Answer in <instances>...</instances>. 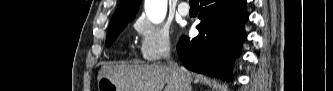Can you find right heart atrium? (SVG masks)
<instances>
[{
	"label": "right heart atrium",
	"mask_w": 333,
	"mask_h": 91,
	"mask_svg": "<svg viewBox=\"0 0 333 91\" xmlns=\"http://www.w3.org/2000/svg\"><path fill=\"white\" fill-rule=\"evenodd\" d=\"M133 27L139 37L140 54L144 60L158 62L170 55L173 40L168 26L139 17L134 21Z\"/></svg>",
	"instance_id": "obj_1"
}]
</instances>
